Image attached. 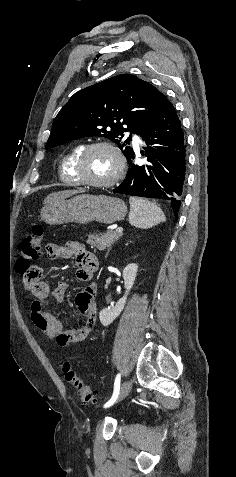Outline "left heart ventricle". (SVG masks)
<instances>
[{"label": "left heart ventricle", "mask_w": 236, "mask_h": 477, "mask_svg": "<svg viewBox=\"0 0 236 477\" xmlns=\"http://www.w3.org/2000/svg\"><path fill=\"white\" fill-rule=\"evenodd\" d=\"M116 169L117 161L113 153L106 148H95L85 157L82 174L89 180L105 181L113 177Z\"/></svg>", "instance_id": "b2bd125f"}]
</instances>
